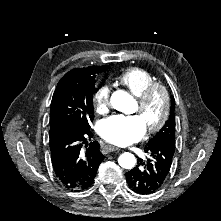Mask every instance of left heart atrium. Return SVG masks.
Listing matches in <instances>:
<instances>
[{
    "label": "left heart atrium",
    "instance_id": "1",
    "mask_svg": "<svg viewBox=\"0 0 221 221\" xmlns=\"http://www.w3.org/2000/svg\"><path fill=\"white\" fill-rule=\"evenodd\" d=\"M100 136L116 146H127L141 140L146 127L137 115H113L98 127Z\"/></svg>",
    "mask_w": 221,
    "mask_h": 221
}]
</instances>
